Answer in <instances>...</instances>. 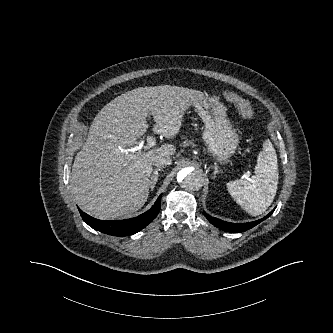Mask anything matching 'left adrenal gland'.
Segmentation results:
<instances>
[{"instance_id": "a2214340", "label": "left adrenal gland", "mask_w": 333, "mask_h": 333, "mask_svg": "<svg viewBox=\"0 0 333 333\" xmlns=\"http://www.w3.org/2000/svg\"><path fill=\"white\" fill-rule=\"evenodd\" d=\"M219 173H222V171L218 169L217 165H215V167H214V173H213V179H215L216 175L219 174Z\"/></svg>"}]
</instances>
